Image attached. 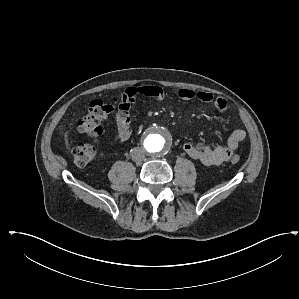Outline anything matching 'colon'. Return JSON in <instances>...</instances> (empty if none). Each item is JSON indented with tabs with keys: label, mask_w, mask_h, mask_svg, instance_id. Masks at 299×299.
I'll use <instances>...</instances> for the list:
<instances>
[{
	"label": "colon",
	"mask_w": 299,
	"mask_h": 299,
	"mask_svg": "<svg viewBox=\"0 0 299 299\" xmlns=\"http://www.w3.org/2000/svg\"><path fill=\"white\" fill-rule=\"evenodd\" d=\"M112 111V106L100 100H94L90 103L87 112L78 121V130L90 137L91 142L82 143L74 148V163L78 167H84L92 162L96 157V145L102 134L101 122ZM240 157L233 155L232 163H238Z\"/></svg>",
	"instance_id": "obj_1"
}]
</instances>
